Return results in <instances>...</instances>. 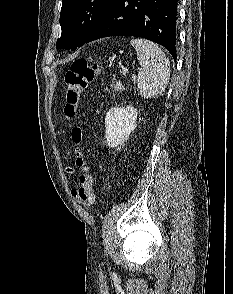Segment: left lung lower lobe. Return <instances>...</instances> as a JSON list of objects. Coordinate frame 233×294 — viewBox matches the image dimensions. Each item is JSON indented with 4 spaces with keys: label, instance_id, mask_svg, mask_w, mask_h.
Returning <instances> with one entry per match:
<instances>
[{
    "label": "left lung lower lobe",
    "instance_id": "0a47b994",
    "mask_svg": "<svg viewBox=\"0 0 233 294\" xmlns=\"http://www.w3.org/2000/svg\"><path fill=\"white\" fill-rule=\"evenodd\" d=\"M176 12L177 0H112L85 43L137 36L164 46L175 59Z\"/></svg>",
    "mask_w": 233,
    "mask_h": 294
}]
</instances>
